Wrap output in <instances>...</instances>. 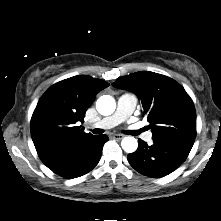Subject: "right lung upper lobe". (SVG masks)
I'll return each instance as SVG.
<instances>
[{
  "mask_svg": "<svg viewBox=\"0 0 221 221\" xmlns=\"http://www.w3.org/2000/svg\"><path fill=\"white\" fill-rule=\"evenodd\" d=\"M108 86L106 81L78 75L52 85L42 95L30 131L37 153L49 169L63 165L94 137L77 125L84 122L96 94Z\"/></svg>",
  "mask_w": 221,
  "mask_h": 221,
  "instance_id": "cb5924a9",
  "label": "right lung upper lobe"
}]
</instances>
